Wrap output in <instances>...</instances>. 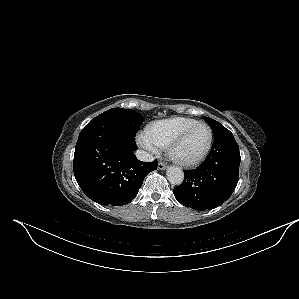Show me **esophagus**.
<instances>
[{"mask_svg":"<svg viewBox=\"0 0 299 299\" xmlns=\"http://www.w3.org/2000/svg\"><path fill=\"white\" fill-rule=\"evenodd\" d=\"M166 164L165 163H163V162H159L158 163V169H160V170H164V169H166Z\"/></svg>","mask_w":299,"mask_h":299,"instance_id":"34e87169","label":"esophagus"}]
</instances>
